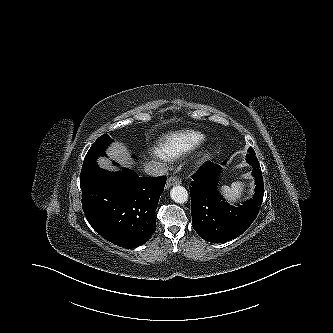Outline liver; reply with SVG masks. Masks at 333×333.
Returning a JSON list of instances; mask_svg holds the SVG:
<instances>
[{"label": "liver", "mask_w": 333, "mask_h": 333, "mask_svg": "<svg viewBox=\"0 0 333 333\" xmlns=\"http://www.w3.org/2000/svg\"><path fill=\"white\" fill-rule=\"evenodd\" d=\"M107 155L109 158L100 157L98 159V164L101 168L107 169V170H116L115 166H112L111 161L109 159L116 160L118 163H120L123 166H128L130 163L128 160H130L129 152L127 151L126 146L121 142H115L111 144V146L107 150Z\"/></svg>", "instance_id": "liver-1"}]
</instances>
